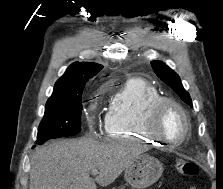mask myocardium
<instances>
[{
  "label": "myocardium",
  "mask_w": 223,
  "mask_h": 189,
  "mask_svg": "<svg viewBox=\"0 0 223 189\" xmlns=\"http://www.w3.org/2000/svg\"><path fill=\"white\" fill-rule=\"evenodd\" d=\"M175 107L182 115L185 123L184 135L181 139L176 142H170L165 139L159 132L158 123L159 118L166 106ZM143 129L147 135L154 138L155 140L166 144L168 147H178L183 144L191 134V121L186 109L173 98L170 97H159L154 101L147 109L144 117Z\"/></svg>",
  "instance_id": "obj_1"
}]
</instances>
